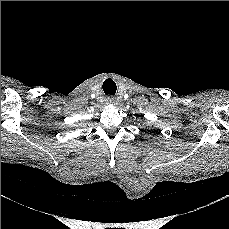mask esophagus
<instances>
[{"label":"esophagus","instance_id":"obj_1","mask_svg":"<svg viewBox=\"0 0 229 229\" xmlns=\"http://www.w3.org/2000/svg\"><path fill=\"white\" fill-rule=\"evenodd\" d=\"M105 101L107 104H113L115 102V99L112 96H108Z\"/></svg>","mask_w":229,"mask_h":229}]
</instances>
